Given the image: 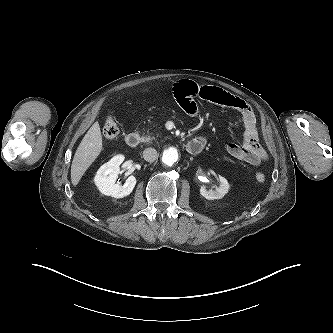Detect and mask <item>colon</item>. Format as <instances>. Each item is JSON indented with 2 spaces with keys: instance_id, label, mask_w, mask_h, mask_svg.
<instances>
[{
  "instance_id": "colon-1",
  "label": "colon",
  "mask_w": 333,
  "mask_h": 333,
  "mask_svg": "<svg viewBox=\"0 0 333 333\" xmlns=\"http://www.w3.org/2000/svg\"><path fill=\"white\" fill-rule=\"evenodd\" d=\"M103 133L107 138H115L119 134V127L115 117L112 114H108L104 120ZM255 180L258 183H263L266 180V176L258 172L255 175Z\"/></svg>"
}]
</instances>
